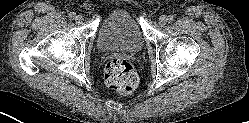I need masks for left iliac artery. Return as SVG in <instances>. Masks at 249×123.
<instances>
[{"label": "left iliac artery", "mask_w": 249, "mask_h": 123, "mask_svg": "<svg viewBox=\"0 0 249 123\" xmlns=\"http://www.w3.org/2000/svg\"><path fill=\"white\" fill-rule=\"evenodd\" d=\"M167 21H168L169 23H172V22L174 21V17H173L172 15H169V16L167 17Z\"/></svg>", "instance_id": "left-iliac-artery-1"}]
</instances>
